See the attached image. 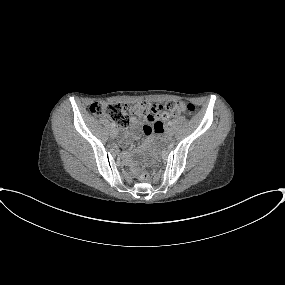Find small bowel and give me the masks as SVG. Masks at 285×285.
Instances as JSON below:
<instances>
[{
	"label": "small bowel",
	"mask_w": 285,
	"mask_h": 285,
	"mask_svg": "<svg viewBox=\"0 0 285 285\" xmlns=\"http://www.w3.org/2000/svg\"><path fill=\"white\" fill-rule=\"evenodd\" d=\"M154 105V108L156 111L158 112H162L163 111V107L161 105H157L155 103H152ZM141 122H144L143 124V132L148 136L151 137L153 135L154 132H157L162 123L161 121L158 120H154L151 117H145L144 119H139L137 117H132L130 120V127L127 130V136L137 139L139 137L138 133L136 132V129L138 128V126L140 125ZM116 149L121 153L124 154V150L121 146V144L116 146Z\"/></svg>",
	"instance_id": "c3829d8e"
}]
</instances>
